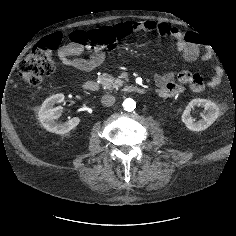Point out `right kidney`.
<instances>
[{"label": "right kidney", "instance_id": "1", "mask_svg": "<svg viewBox=\"0 0 236 236\" xmlns=\"http://www.w3.org/2000/svg\"><path fill=\"white\" fill-rule=\"evenodd\" d=\"M65 99L62 93L53 95L47 98L39 110L38 116L43 127L52 133L65 134L75 128L80 119L74 117L65 123H58L55 119L61 116L62 108L60 106L54 107L56 103H61Z\"/></svg>", "mask_w": 236, "mask_h": 236}]
</instances>
